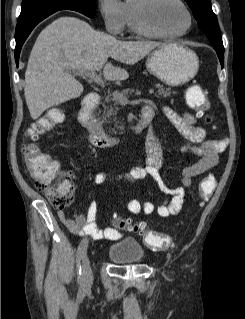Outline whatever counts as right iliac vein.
I'll list each match as a JSON object with an SVG mask.
<instances>
[{
  "label": "right iliac vein",
  "instance_id": "right-iliac-vein-1",
  "mask_svg": "<svg viewBox=\"0 0 245 319\" xmlns=\"http://www.w3.org/2000/svg\"><path fill=\"white\" fill-rule=\"evenodd\" d=\"M82 244H84L85 246L88 245V239L85 238L81 241ZM82 269H83V280H84V284L85 285H89L92 281L93 278V274H92V269L90 266V260L87 256V254L85 253L83 256V262H82Z\"/></svg>",
  "mask_w": 245,
  "mask_h": 319
}]
</instances>
